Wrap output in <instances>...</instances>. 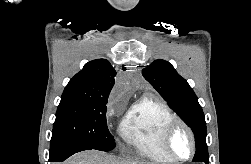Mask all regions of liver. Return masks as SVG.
Wrapping results in <instances>:
<instances>
[{
  "label": "liver",
  "instance_id": "1",
  "mask_svg": "<svg viewBox=\"0 0 251 164\" xmlns=\"http://www.w3.org/2000/svg\"><path fill=\"white\" fill-rule=\"evenodd\" d=\"M63 164H154L133 161L131 159H121L108 155L104 152L90 150L77 153L65 161Z\"/></svg>",
  "mask_w": 251,
  "mask_h": 164
}]
</instances>
